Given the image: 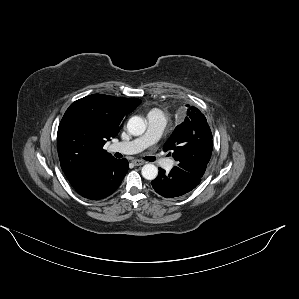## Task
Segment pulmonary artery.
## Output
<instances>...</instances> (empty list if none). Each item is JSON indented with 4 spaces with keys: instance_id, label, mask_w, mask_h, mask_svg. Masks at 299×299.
Instances as JSON below:
<instances>
[{
    "instance_id": "obj_1",
    "label": "pulmonary artery",
    "mask_w": 299,
    "mask_h": 299,
    "mask_svg": "<svg viewBox=\"0 0 299 299\" xmlns=\"http://www.w3.org/2000/svg\"><path fill=\"white\" fill-rule=\"evenodd\" d=\"M147 121V130L142 136L127 142H117L111 146L112 150L124 154H135L156 143L167 125V117L162 111H153L148 114ZM162 164L166 169H171L174 162L167 159L163 160Z\"/></svg>"
}]
</instances>
